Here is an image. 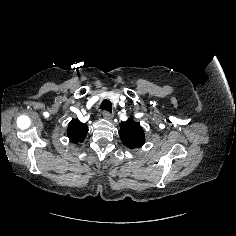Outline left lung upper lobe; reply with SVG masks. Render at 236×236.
Here are the masks:
<instances>
[{
  "label": "left lung upper lobe",
  "instance_id": "obj_1",
  "mask_svg": "<svg viewBox=\"0 0 236 236\" xmlns=\"http://www.w3.org/2000/svg\"><path fill=\"white\" fill-rule=\"evenodd\" d=\"M120 138L130 149L141 147L145 142L144 130L132 119L120 124Z\"/></svg>",
  "mask_w": 236,
  "mask_h": 236
}]
</instances>
